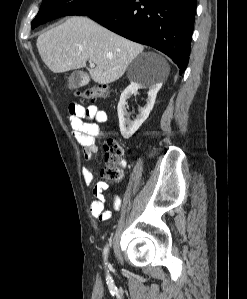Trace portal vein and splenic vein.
Here are the masks:
<instances>
[{
  "instance_id": "18ae733b",
  "label": "portal vein and splenic vein",
  "mask_w": 247,
  "mask_h": 299,
  "mask_svg": "<svg viewBox=\"0 0 247 299\" xmlns=\"http://www.w3.org/2000/svg\"><path fill=\"white\" fill-rule=\"evenodd\" d=\"M89 63L91 68L95 67V64L92 61H89Z\"/></svg>"
}]
</instances>
